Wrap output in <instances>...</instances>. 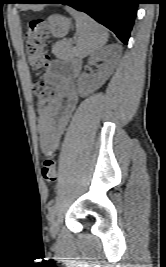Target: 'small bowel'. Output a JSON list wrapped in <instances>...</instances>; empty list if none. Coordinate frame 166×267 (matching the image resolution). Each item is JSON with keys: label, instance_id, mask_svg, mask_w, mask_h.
Masks as SVG:
<instances>
[{"label": "small bowel", "instance_id": "c3829d8e", "mask_svg": "<svg viewBox=\"0 0 166 267\" xmlns=\"http://www.w3.org/2000/svg\"><path fill=\"white\" fill-rule=\"evenodd\" d=\"M78 74L75 66L54 60L44 79L56 87L58 95L54 102L38 111L39 144L43 152H53L66 129L78 101L74 79ZM63 100L65 103L63 104Z\"/></svg>", "mask_w": 166, "mask_h": 267}]
</instances>
